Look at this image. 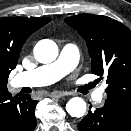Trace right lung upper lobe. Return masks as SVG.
<instances>
[{"label":"right lung upper lobe","mask_w":131,"mask_h":131,"mask_svg":"<svg viewBox=\"0 0 131 131\" xmlns=\"http://www.w3.org/2000/svg\"><path fill=\"white\" fill-rule=\"evenodd\" d=\"M50 18H0V70H13L26 39Z\"/></svg>","instance_id":"cb5924a9"}]
</instances>
